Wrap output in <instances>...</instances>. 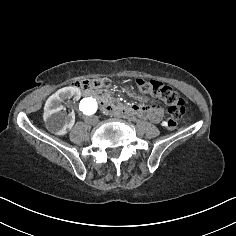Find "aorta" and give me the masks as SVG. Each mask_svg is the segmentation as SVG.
I'll return each mask as SVG.
<instances>
[{"label":"aorta","instance_id":"762f6f07","mask_svg":"<svg viewBox=\"0 0 236 236\" xmlns=\"http://www.w3.org/2000/svg\"><path fill=\"white\" fill-rule=\"evenodd\" d=\"M79 109L84 118L93 116L98 111V102L93 97H86L81 101Z\"/></svg>","mask_w":236,"mask_h":236}]
</instances>
